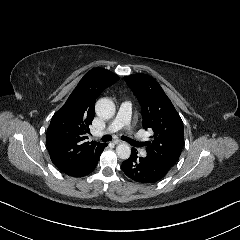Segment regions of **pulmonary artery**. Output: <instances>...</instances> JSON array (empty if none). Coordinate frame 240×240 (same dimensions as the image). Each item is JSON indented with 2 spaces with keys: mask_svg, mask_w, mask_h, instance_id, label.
<instances>
[{
  "mask_svg": "<svg viewBox=\"0 0 240 240\" xmlns=\"http://www.w3.org/2000/svg\"><path fill=\"white\" fill-rule=\"evenodd\" d=\"M129 102H124L123 105L120 107L117 118L114 120V122L109 127L110 130H117L118 128H122L123 126H129L130 125V116H131V107ZM131 137L133 139H136L138 137V134L136 132H133L131 134ZM145 154V152H144Z\"/></svg>",
  "mask_w": 240,
  "mask_h": 240,
  "instance_id": "1",
  "label": "pulmonary artery"
}]
</instances>
